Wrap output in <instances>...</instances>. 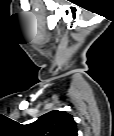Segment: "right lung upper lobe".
<instances>
[{
  "mask_svg": "<svg viewBox=\"0 0 114 136\" xmlns=\"http://www.w3.org/2000/svg\"><path fill=\"white\" fill-rule=\"evenodd\" d=\"M28 129L34 136H77L76 122L65 111L46 113L31 123Z\"/></svg>",
  "mask_w": 114,
  "mask_h": 136,
  "instance_id": "cb5924a9",
  "label": "right lung upper lobe"
}]
</instances>
